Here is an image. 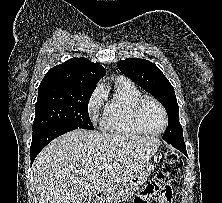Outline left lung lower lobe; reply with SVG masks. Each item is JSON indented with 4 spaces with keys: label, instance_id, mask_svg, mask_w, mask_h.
<instances>
[{
    "label": "left lung lower lobe",
    "instance_id": "obj_1",
    "mask_svg": "<svg viewBox=\"0 0 222 203\" xmlns=\"http://www.w3.org/2000/svg\"><path fill=\"white\" fill-rule=\"evenodd\" d=\"M170 144L187 156L186 146L184 142H170Z\"/></svg>",
    "mask_w": 222,
    "mask_h": 203
}]
</instances>
